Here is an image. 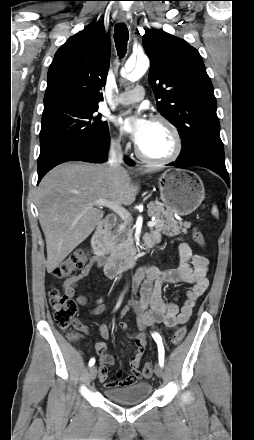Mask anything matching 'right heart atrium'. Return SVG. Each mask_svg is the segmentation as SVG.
<instances>
[{
  "instance_id": "right-heart-atrium-1",
  "label": "right heart atrium",
  "mask_w": 254,
  "mask_h": 440,
  "mask_svg": "<svg viewBox=\"0 0 254 440\" xmlns=\"http://www.w3.org/2000/svg\"><path fill=\"white\" fill-rule=\"evenodd\" d=\"M110 144L114 149L119 150L122 148V138L120 136L112 137Z\"/></svg>"
}]
</instances>
